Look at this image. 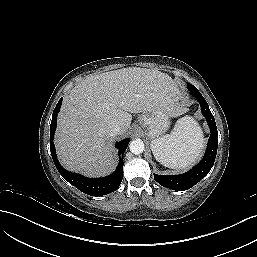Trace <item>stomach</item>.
Instances as JSON below:
<instances>
[{"instance_id":"stomach-1","label":"stomach","mask_w":257,"mask_h":257,"mask_svg":"<svg viewBox=\"0 0 257 257\" xmlns=\"http://www.w3.org/2000/svg\"><path fill=\"white\" fill-rule=\"evenodd\" d=\"M138 123L145 135L150 139H157L170 126L169 114L164 107L157 105L142 112L138 117Z\"/></svg>"}]
</instances>
